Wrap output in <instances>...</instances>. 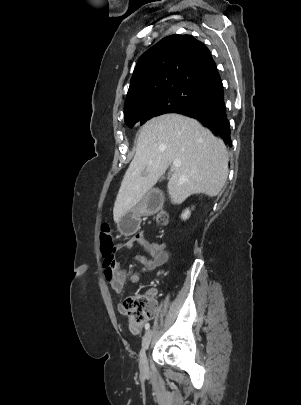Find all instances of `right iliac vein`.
<instances>
[{"label": "right iliac vein", "instance_id": "63e3f726", "mask_svg": "<svg viewBox=\"0 0 301 405\" xmlns=\"http://www.w3.org/2000/svg\"><path fill=\"white\" fill-rule=\"evenodd\" d=\"M153 336V331L149 330L142 340V348L139 354V368L142 373H146L148 371V361L146 356V351L151 343Z\"/></svg>", "mask_w": 301, "mask_h": 405}]
</instances>
